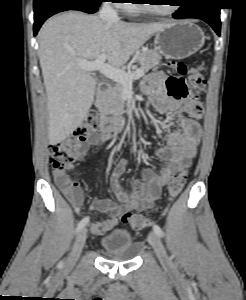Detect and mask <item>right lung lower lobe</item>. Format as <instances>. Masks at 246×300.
Segmentation results:
<instances>
[{
	"label": "right lung lower lobe",
	"instance_id": "right-lung-lower-lobe-1",
	"mask_svg": "<svg viewBox=\"0 0 246 300\" xmlns=\"http://www.w3.org/2000/svg\"><path fill=\"white\" fill-rule=\"evenodd\" d=\"M101 2L102 0H36L34 1V35L37 34L43 22L56 13L66 10L95 13Z\"/></svg>",
	"mask_w": 246,
	"mask_h": 300
}]
</instances>
